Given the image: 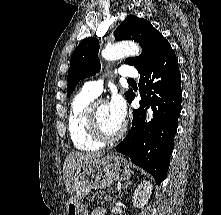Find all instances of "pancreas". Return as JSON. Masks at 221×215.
Returning a JSON list of instances; mask_svg holds the SVG:
<instances>
[{"label":"pancreas","mask_w":221,"mask_h":215,"mask_svg":"<svg viewBox=\"0 0 221 215\" xmlns=\"http://www.w3.org/2000/svg\"><path fill=\"white\" fill-rule=\"evenodd\" d=\"M109 196L108 193H101V192H96L95 194L92 195V197L88 198V201H92L93 199L96 200L97 203L101 202V204L105 203V197ZM104 197V199H103Z\"/></svg>","instance_id":"1"}]
</instances>
